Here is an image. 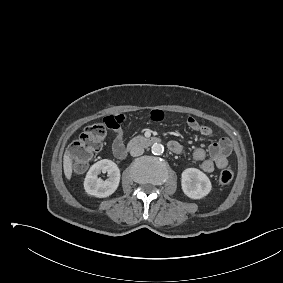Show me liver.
Masks as SVG:
<instances>
[{"instance_id": "obj_1", "label": "liver", "mask_w": 283, "mask_h": 283, "mask_svg": "<svg viewBox=\"0 0 283 283\" xmlns=\"http://www.w3.org/2000/svg\"><path fill=\"white\" fill-rule=\"evenodd\" d=\"M63 169L66 178L70 180L72 176L73 166H72L71 155L68 150L65 151L63 157Z\"/></svg>"}]
</instances>
